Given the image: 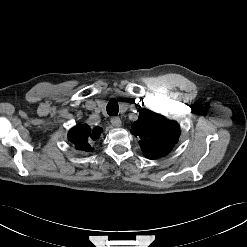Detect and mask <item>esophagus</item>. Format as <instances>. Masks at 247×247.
<instances>
[{"label": "esophagus", "instance_id": "esophagus-1", "mask_svg": "<svg viewBox=\"0 0 247 247\" xmlns=\"http://www.w3.org/2000/svg\"><path fill=\"white\" fill-rule=\"evenodd\" d=\"M111 123H112V125L115 126V127H120L121 124H122L119 117H112V118H111Z\"/></svg>", "mask_w": 247, "mask_h": 247}]
</instances>
